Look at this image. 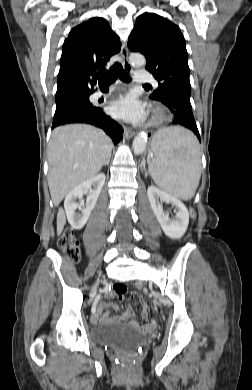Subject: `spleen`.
<instances>
[{
	"label": "spleen",
	"mask_w": 252,
	"mask_h": 390,
	"mask_svg": "<svg viewBox=\"0 0 252 390\" xmlns=\"http://www.w3.org/2000/svg\"><path fill=\"white\" fill-rule=\"evenodd\" d=\"M149 173L165 192L190 200L201 177V154L196 137L181 127L159 130L152 141Z\"/></svg>",
	"instance_id": "3e777b00"
}]
</instances>
